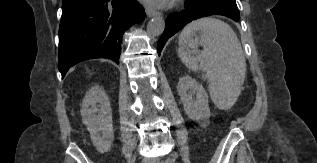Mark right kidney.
Returning <instances> with one entry per match:
<instances>
[{
  "label": "right kidney",
  "instance_id": "obj_1",
  "mask_svg": "<svg viewBox=\"0 0 317 163\" xmlns=\"http://www.w3.org/2000/svg\"><path fill=\"white\" fill-rule=\"evenodd\" d=\"M81 116L97 151L104 153L110 150L114 139L112 109L106 92L100 86L96 85L86 93Z\"/></svg>",
  "mask_w": 317,
  "mask_h": 163
}]
</instances>
